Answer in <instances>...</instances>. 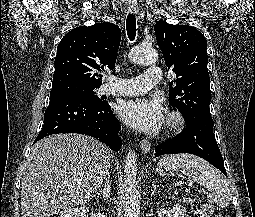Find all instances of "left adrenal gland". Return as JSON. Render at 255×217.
I'll return each mask as SVG.
<instances>
[{"label":"left adrenal gland","mask_w":255,"mask_h":217,"mask_svg":"<svg viewBox=\"0 0 255 217\" xmlns=\"http://www.w3.org/2000/svg\"><path fill=\"white\" fill-rule=\"evenodd\" d=\"M153 186V190L151 195H153L155 193V191L159 188V187H163L162 185L156 184L155 182L152 184Z\"/></svg>","instance_id":"1"}]
</instances>
